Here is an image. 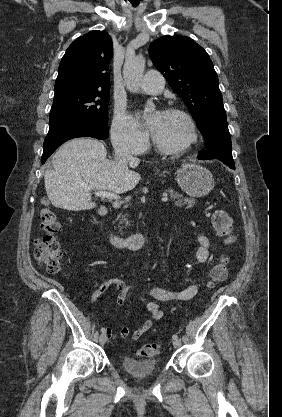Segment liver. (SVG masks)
I'll return each mask as SVG.
<instances>
[{"mask_svg": "<svg viewBox=\"0 0 282 417\" xmlns=\"http://www.w3.org/2000/svg\"><path fill=\"white\" fill-rule=\"evenodd\" d=\"M107 150L96 138L82 136L64 142L52 156V170L44 174L45 188L49 200L58 209L88 211L96 202L91 200V188L126 192L135 188L140 174L128 170L138 166L139 158L130 162L108 160Z\"/></svg>", "mask_w": 282, "mask_h": 417, "instance_id": "obj_1", "label": "liver"}]
</instances>
